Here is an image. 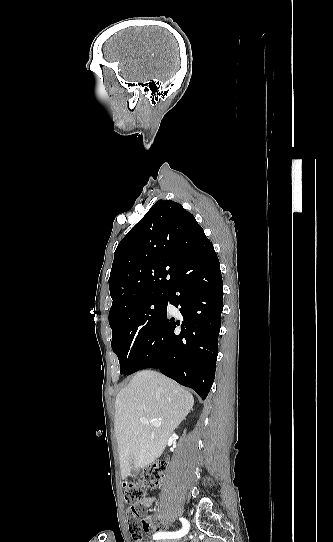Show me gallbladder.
<instances>
[{"instance_id":"1","label":"gallbladder","mask_w":333,"mask_h":542,"mask_svg":"<svg viewBox=\"0 0 333 542\" xmlns=\"http://www.w3.org/2000/svg\"><path fill=\"white\" fill-rule=\"evenodd\" d=\"M138 474H139V470H134V468H132L131 476H138Z\"/></svg>"}]
</instances>
